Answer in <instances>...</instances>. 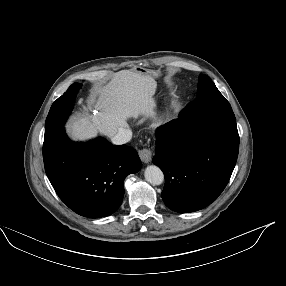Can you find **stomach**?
Returning <instances> with one entry per match:
<instances>
[{
	"mask_svg": "<svg viewBox=\"0 0 286 286\" xmlns=\"http://www.w3.org/2000/svg\"><path fill=\"white\" fill-rule=\"evenodd\" d=\"M136 71L142 73V74H150V75H153V76H158L159 74L157 72H152V71H149V70H146V69H143V68H137Z\"/></svg>",
	"mask_w": 286,
	"mask_h": 286,
	"instance_id": "obj_1",
	"label": "stomach"
}]
</instances>
